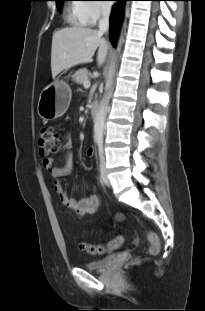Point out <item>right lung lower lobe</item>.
<instances>
[{
	"instance_id": "1",
	"label": "right lung lower lobe",
	"mask_w": 205,
	"mask_h": 311,
	"mask_svg": "<svg viewBox=\"0 0 205 311\" xmlns=\"http://www.w3.org/2000/svg\"><path fill=\"white\" fill-rule=\"evenodd\" d=\"M117 1H126V0H117ZM121 14L118 12L117 8L114 7L110 15V41L112 45H115L117 38L118 30L121 24Z\"/></svg>"
}]
</instances>
